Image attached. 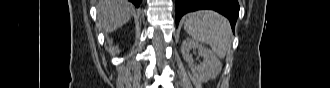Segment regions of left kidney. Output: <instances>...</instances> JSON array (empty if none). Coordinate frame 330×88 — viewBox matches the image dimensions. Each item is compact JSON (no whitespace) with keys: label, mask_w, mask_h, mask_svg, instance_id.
Returning a JSON list of instances; mask_svg holds the SVG:
<instances>
[{"label":"left kidney","mask_w":330,"mask_h":88,"mask_svg":"<svg viewBox=\"0 0 330 88\" xmlns=\"http://www.w3.org/2000/svg\"><path fill=\"white\" fill-rule=\"evenodd\" d=\"M191 49H197L198 55L203 57V62L200 65L194 63L193 57L190 54ZM181 53L193 75L201 82L215 79L221 72L222 64L216 55L210 49L193 39L187 38L182 42Z\"/></svg>","instance_id":"obj_1"}]
</instances>
